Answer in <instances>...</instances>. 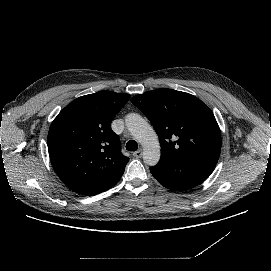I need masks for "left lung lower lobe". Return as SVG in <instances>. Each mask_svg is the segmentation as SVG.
Segmentation results:
<instances>
[{"mask_svg": "<svg viewBox=\"0 0 271 271\" xmlns=\"http://www.w3.org/2000/svg\"><path fill=\"white\" fill-rule=\"evenodd\" d=\"M215 166L214 162L161 153L159 163L150 172L164 187L186 191L204 182Z\"/></svg>", "mask_w": 271, "mask_h": 271, "instance_id": "1", "label": "left lung lower lobe"}]
</instances>
